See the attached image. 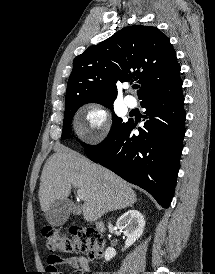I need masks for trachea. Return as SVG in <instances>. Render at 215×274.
<instances>
[{
    "instance_id": "3493384b",
    "label": "trachea",
    "mask_w": 215,
    "mask_h": 274,
    "mask_svg": "<svg viewBox=\"0 0 215 274\" xmlns=\"http://www.w3.org/2000/svg\"><path fill=\"white\" fill-rule=\"evenodd\" d=\"M138 88V86H134V89H137Z\"/></svg>"
}]
</instances>
